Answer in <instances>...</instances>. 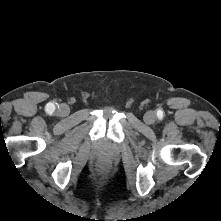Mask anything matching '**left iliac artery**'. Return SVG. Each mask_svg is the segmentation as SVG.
I'll use <instances>...</instances> for the list:
<instances>
[{
  "label": "left iliac artery",
  "mask_w": 221,
  "mask_h": 221,
  "mask_svg": "<svg viewBox=\"0 0 221 221\" xmlns=\"http://www.w3.org/2000/svg\"><path fill=\"white\" fill-rule=\"evenodd\" d=\"M162 115H163V112L158 113V116H162Z\"/></svg>",
  "instance_id": "left-iliac-artery-1"
}]
</instances>
